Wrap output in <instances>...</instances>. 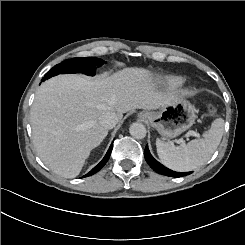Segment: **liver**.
I'll list each match as a JSON object with an SVG mask.
<instances>
[{
    "label": "liver",
    "instance_id": "obj_1",
    "mask_svg": "<svg viewBox=\"0 0 245 245\" xmlns=\"http://www.w3.org/2000/svg\"><path fill=\"white\" fill-rule=\"evenodd\" d=\"M157 85L154 72L144 67H123L97 77L59 74L45 80L30 113L40 159L58 175L77 176L85 157L108 134L98 123L100 115L115 111L120 122L129 110L167 105L176 93Z\"/></svg>",
    "mask_w": 245,
    "mask_h": 245
}]
</instances>
